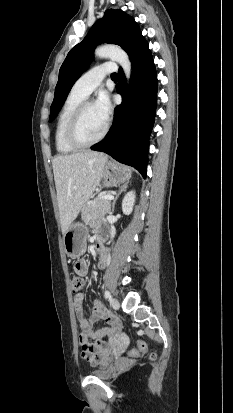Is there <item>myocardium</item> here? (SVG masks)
Returning <instances> with one entry per match:
<instances>
[{
  "label": "myocardium",
  "mask_w": 233,
  "mask_h": 413,
  "mask_svg": "<svg viewBox=\"0 0 233 413\" xmlns=\"http://www.w3.org/2000/svg\"><path fill=\"white\" fill-rule=\"evenodd\" d=\"M91 104H94V102L92 100H89V99L83 100L77 106V108L73 112V114L70 117L69 122L67 124L66 132H65L66 139H67L68 143L70 145H72L73 147H75V148H87V147L93 146V145L99 143L100 141H102L108 133L109 122L107 121L102 133L97 138H95L91 141H83L79 137V126H80L81 119L83 117V114H84L86 108Z\"/></svg>",
  "instance_id": "f54148a6"
}]
</instances>
